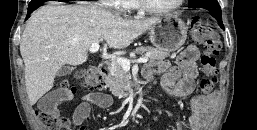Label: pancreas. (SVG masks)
Segmentation results:
<instances>
[{
	"label": "pancreas",
	"mask_w": 257,
	"mask_h": 130,
	"mask_svg": "<svg viewBox=\"0 0 257 130\" xmlns=\"http://www.w3.org/2000/svg\"><path fill=\"white\" fill-rule=\"evenodd\" d=\"M135 51L138 54H148L151 64L162 61L169 56V52L150 46L139 47ZM130 79V73L125 71L117 62H113L111 71L105 78V83L114 96L125 98L128 96L131 86H133Z\"/></svg>",
	"instance_id": "cf45deb5"
}]
</instances>
